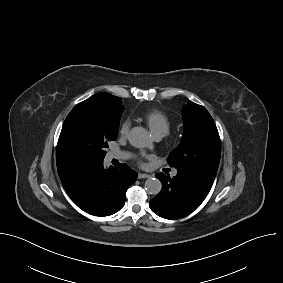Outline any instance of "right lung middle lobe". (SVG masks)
<instances>
[{
	"label": "right lung middle lobe",
	"mask_w": 283,
	"mask_h": 283,
	"mask_svg": "<svg viewBox=\"0 0 283 283\" xmlns=\"http://www.w3.org/2000/svg\"><path fill=\"white\" fill-rule=\"evenodd\" d=\"M124 106L120 97L98 93L66 117L56 149L57 169L103 162L108 142L118 135Z\"/></svg>",
	"instance_id": "right-lung-middle-lobe-1"
}]
</instances>
